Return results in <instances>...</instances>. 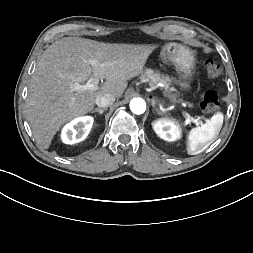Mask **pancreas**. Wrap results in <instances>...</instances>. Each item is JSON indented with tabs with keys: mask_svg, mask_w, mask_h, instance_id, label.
Returning <instances> with one entry per match:
<instances>
[{
	"mask_svg": "<svg viewBox=\"0 0 253 253\" xmlns=\"http://www.w3.org/2000/svg\"><path fill=\"white\" fill-rule=\"evenodd\" d=\"M141 79L143 82H148L150 87L157 88L158 84H162V88L165 91V95L172 101H176V89L171 87V78L168 75H164L157 70L146 69L141 74Z\"/></svg>",
	"mask_w": 253,
	"mask_h": 253,
	"instance_id": "1",
	"label": "pancreas"
}]
</instances>
